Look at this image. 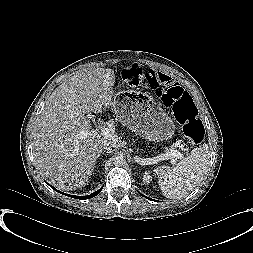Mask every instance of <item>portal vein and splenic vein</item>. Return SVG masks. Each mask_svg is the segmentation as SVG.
Returning a JSON list of instances; mask_svg holds the SVG:
<instances>
[{"label":"portal vein and splenic vein","instance_id":"1","mask_svg":"<svg viewBox=\"0 0 253 253\" xmlns=\"http://www.w3.org/2000/svg\"><path fill=\"white\" fill-rule=\"evenodd\" d=\"M101 135L104 138L110 139V140L111 139L113 140L116 137L115 130L112 129V128H107V127H104V128L101 129ZM181 156H182V154L179 151H177L174 148H172L166 154H164L163 156H161L160 159H172V158H179Z\"/></svg>","mask_w":253,"mask_h":253}]
</instances>
